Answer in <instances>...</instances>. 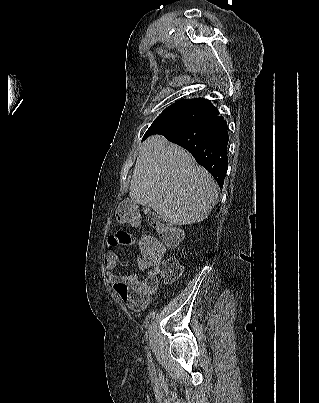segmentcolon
<instances>
[{"instance_id": "5ec220e1", "label": "colon", "mask_w": 319, "mask_h": 403, "mask_svg": "<svg viewBox=\"0 0 319 403\" xmlns=\"http://www.w3.org/2000/svg\"><path fill=\"white\" fill-rule=\"evenodd\" d=\"M121 204L115 213L117 220L125 224L137 225L141 220V214L133 197H122ZM148 222L159 234L146 233L138 236L139 248L135 251L141 252L147 259L155 261L157 264V270L150 273L146 278L152 293L157 288L160 277L165 281H173L181 275L182 266L176 260L170 259L162 262L161 258L166 247L176 246L182 235L175 227L167 224L157 215H149Z\"/></svg>"}]
</instances>
